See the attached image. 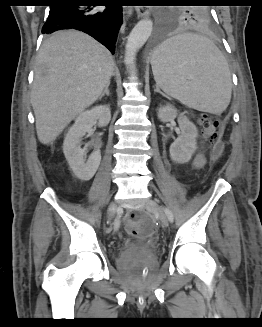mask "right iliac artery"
Wrapping results in <instances>:
<instances>
[{
    "label": "right iliac artery",
    "mask_w": 262,
    "mask_h": 327,
    "mask_svg": "<svg viewBox=\"0 0 262 327\" xmlns=\"http://www.w3.org/2000/svg\"><path fill=\"white\" fill-rule=\"evenodd\" d=\"M114 228H115V230H117L119 228V220L118 219H116L114 222Z\"/></svg>",
    "instance_id": "obj_1"
}]
</instances>
